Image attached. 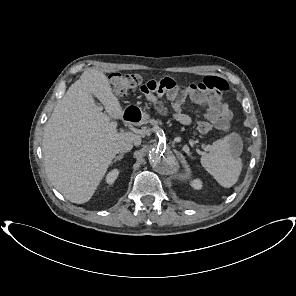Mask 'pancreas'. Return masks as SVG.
<instances>
[{"instance_id": "pancreas-1", "label": "pancreas", "mask_w": 296, "mask_h": 296, "mask_svg": "<svg viewBox=\"0 0 296 296\" xmlns=\"http://www.w3.org/2000/svg\"><path fill=\"white\" fill-rule=\"evenodd\" d=\"M150 122L152 125H158L161 123L160 121H157V120H151Z\"/></svg>"}]
</instances>
